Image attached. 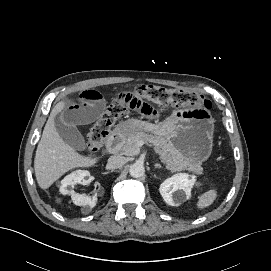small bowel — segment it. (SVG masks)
<instances>
[{
    "label": "small bowel",
    "instance_id": "c3829d8e",
    "mask_svg": "<svg viewBox=\"0 0 271 271\" xmlns=\"http://www.w3.org/2000/svg\"><path fill=\"white\" fill-rule=\"evenodd\" d=\"M115 101L127 105V113L134 112L141 119L158 121L162 113L152 102L142 98L135 90L118 92ZM105 108L103 95L92 89L84 90L79 94L77 101L61 106L49 119L48 129L58 134L72 147L81 148L83 140L78 127L89 124L99 118Z\"/></svg>",
    "mask_w": 271,
    "mask_h": 271
}]
</instances>
